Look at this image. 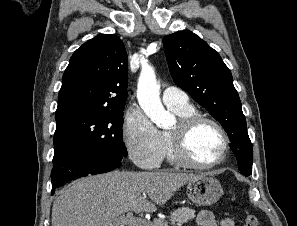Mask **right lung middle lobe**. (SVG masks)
Returning <instances> with one entry per match:
<instances>
[{
  "mask_svg": "<svg viewBox=\"0 0 297 226\" xmlns=\"http://www.w3.org/2000/svg\"><path fill=\"white\" fill-rule=\"evenodd\" d=\"M123 111L83 112L56 120L55 150L65 147H93L127 156L122 140Z\"/></svg>",
  "mask_w": 297,
  "mask_h": 226,
  "instance_id": "right-lung-middle-lobe-1",
  "label": "right lung middle lobe"
}]
</instances>
